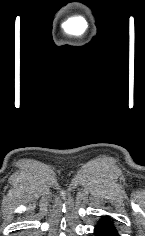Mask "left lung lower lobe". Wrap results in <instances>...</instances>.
Segmentation results:
<instances>
[{"mask_svg": "<svg viewBox=\"0 0 145 236\" xmlns=\"http://www.w3.org/2000/svg\"><path fill=\"white\" fill-rule=\"evenodd\" d=\"M95 236H119L114 219L110 216H101L94 229Z\"/></svg>", "mask_w": 145, "mask_h": 236, "instance_id": "left-lung-lower-lobe-1", "label": "left lung lower lobe"}]
</instances>
